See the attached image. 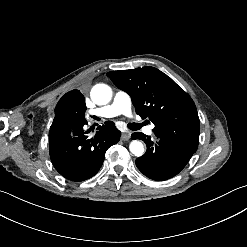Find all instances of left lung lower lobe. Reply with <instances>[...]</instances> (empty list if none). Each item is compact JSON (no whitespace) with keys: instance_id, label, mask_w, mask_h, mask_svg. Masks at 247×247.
Returning a JSON list of instances; mask_svg holds the SVG:
<instances>
[{"instance_id":"0a47b994","label":"left lung lower lobe","mask_w":247,"mask_h":247,"mask_svg":"<svg viewBox=\"0 0 247 247\" xmlns=\"http://www.w3.org/2000/svg\"><path fill=\"white\" fill-rule=\"evenodd\" d=\"M133 139H142L147 145V152L136 159L138 169L148 178L163 181L177 175L195 153L190 149L170 140L160 139L153 142L150 136L133 133Z\"/></svg>"}]
</instances>
